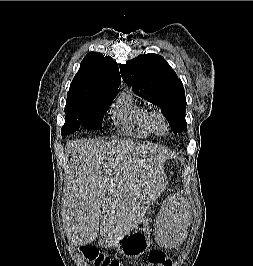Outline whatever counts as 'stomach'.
<instances>
[{"instance_id":"obj_1","label":"stomach","mask_w":253,"mask_h":266,"mask_svg":"<svg viewBox=\"0 0 253 266\" xmlns=\"http://www.w3.org/2000/svg\"><path fill=\"white\" fill-rule=\"evenodd\" d=\"M151 229L148 223L143 222L141 226H137L132 231L115 241H102L105 247H116L119 252L128 258H137L144 254L150 247Z\"/></svg>"}]
</instances>
